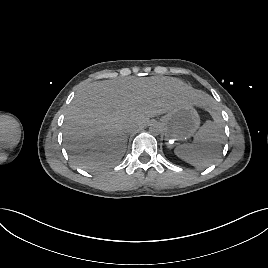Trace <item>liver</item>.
I'll list each match as a JSON object with an SVG mask.
<instances>
[{
  "instance_id": "liver-1",
  "label": "liver",
  "mask_w": 268,
  "mask_h": 268,
  "mask_svg": "<svg viewBox=\"0 0 268 268\" xmlns=\"http://www.w3.org/2000/svg\"><path fill=\"white\" fill-rule=\"evenodd\" d=\"M207 97L176 78L128 77L90 83L65 113L63 135L72 161L86 171L117 165L127 147L129 127L181 105L204 107Z\"/></svg>"
}]
</instances>
